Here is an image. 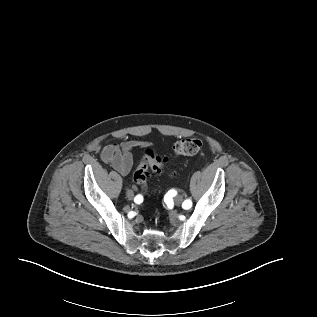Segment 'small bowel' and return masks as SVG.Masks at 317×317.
Wrapping results in <instances>:
<instances>
[{
	"mask_svg": "<svg viewBox=\"0 0 317 317\" xmlns=\"http://www.w3.org/2000/svg\"><path fill=\"white\" fill-rule=\"evenodd\" d=\"M143 145V142L137 140H126L121 143L109 144L102 149L101 159L103 162L110 164L118 173L126 175L133 165V151ZM127 192L134 196L132 190Z\"/></svg>",
	"mask_w": 317,
	"mask_h": 317,
	"instance_id": "small-bowel-1",
	"label": "small bowel"
}]
</instances>
